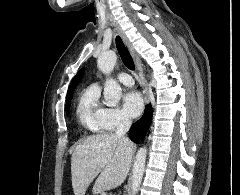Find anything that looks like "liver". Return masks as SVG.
<instances>
[{
  "label": "liver",
  "mask_w": 240,
  "mask_h": 195,
  "mask_svg": "<svg viewBox=\"0 0 240 195\" xmlns=\"http://www.w3.org/2000/svg\"><path fill=\"white\" fill-rule=\"evenodd\" d=\"M134 149L132 141L125 143L112 131L88 135L72 153L71 177L75 195H85L95 177V189L107 191L121 185L131 167Z\"/></svg>",
  "instance_id": "obj_1"
}]
</instances>
